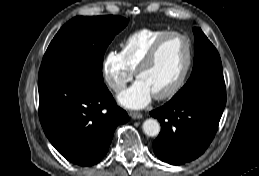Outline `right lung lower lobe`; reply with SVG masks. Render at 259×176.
<instances>
[{"instance_id":"1","label":"right lung lower lobe","mask_w":259,"mask_h":176,"mask_svg":"<svg viewBox=\"0 0 259 176\" xmlns=\"http://www.w3.org/2000/svg\"><path fill=\"white\" fill-rule=\"evenodd\" d=\"M39 118L57 151L68 161L91 166L107 153L115 128L128 121L103 81L77 72L38 79Z\"/></svg>"}]
</instances>
